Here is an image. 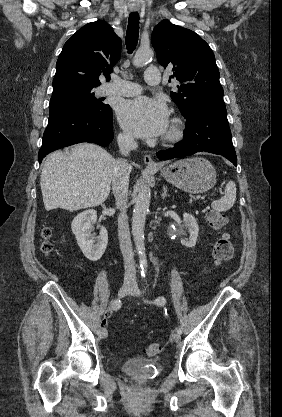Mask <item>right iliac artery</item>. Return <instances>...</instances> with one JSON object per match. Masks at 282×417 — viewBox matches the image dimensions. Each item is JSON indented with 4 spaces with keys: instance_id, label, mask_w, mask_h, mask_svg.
Returning <instances> with one entry per match:
<instances>
[{
    "instance_id": "82829eb1",
    "label": "right iliac artery",
    "mask_w": 282,
    "mask_h": 417,
    "mask_svg": "<svg viewBox=\"0 0 282 417\" xmlns=\"http://www.w3.org/2000/svg\"><path fill=\"white\" fill-rule=\"evenodd\" d=\"M121 305H122V302H121V300H120V299H114V300L110 303L109 309H110V310L117 311V310H119V309H120Z\"/></svg>"
}]
</instances>
